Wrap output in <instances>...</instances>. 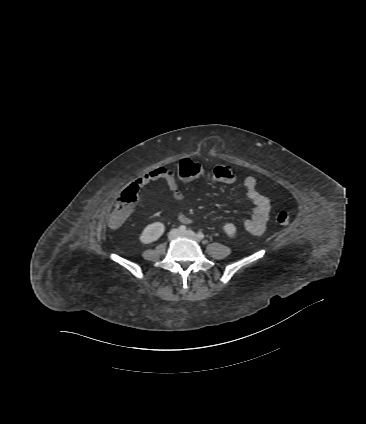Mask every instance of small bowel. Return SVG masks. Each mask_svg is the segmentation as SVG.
Masks as SVG:
<instances>
[{
	"label": "small bowel",
	"mask_w": 366,
	"mask_h": 424,
	"mask_svg": "<svg viewBox=\"0 0 366 424\" xmlns=\"http://www.w3.org/2000/svg\"><path fill=\"white\" fill-rule=\"evenodd\" d=\"M159 179L166 183L167 187L172 192L174 200L181 201L183 199V195L178 189V184L172 170L165 167L154 169L138 177L135 184L137 186H144L151 181ZM244 187L246 189V196L253 203L254 207L251 217L244 222L243 228L251 235H261L265 231L269 219L270 201L257 190V180L255 177L247 176L244 179ZM184 222L188 223L190 221L187 220Z\"/></svg>",
	"instance_id": "c3829d8e"
}]
</instances>
